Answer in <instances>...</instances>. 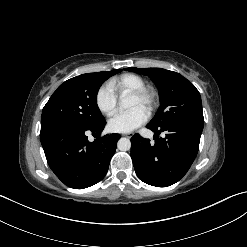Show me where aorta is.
<instances>
[{"mask_svg": "<svg viewBox=\"0 0 247 247\" xmlns=\"http://www.w3.org/2000/svg\"><path fill=\"white\" fill-rule=\"evenodd\" d=\"M119 105L121 108L126 109L131 106V103L127 98H122ZM117 147L120 151H128L131 148V141L128 138H120L117 142Z\"/></svg>", "mask_w": 247, "mask_h": 247, "instance_id": "762f6f07", "label": "aorta"}]
</instances>
